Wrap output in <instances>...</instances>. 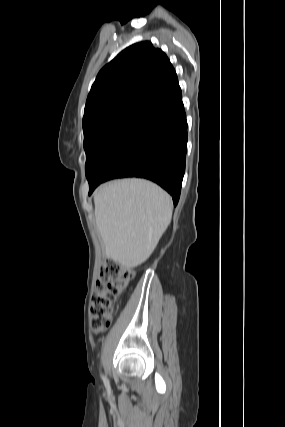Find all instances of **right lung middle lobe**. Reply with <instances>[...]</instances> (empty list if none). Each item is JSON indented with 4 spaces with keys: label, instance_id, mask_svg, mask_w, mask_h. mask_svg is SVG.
<instances>
[{
    "label": "right lung middle lobe",
    "instance_id": "1",
    "mask_svg": "<svg viewBox=\"0 0 285 427\" xmlns=\"http://www.w3.org/2000/svg\"><path fill=\"white\" fill-rule=\"evenodd\" d=\"M143 110L137 107L123 108L93 119L83 126L86 151L85 171L88 181Z\"/></svg>",
    "mask_w": 285,
    "mask_h": 427
}]
</instances>
